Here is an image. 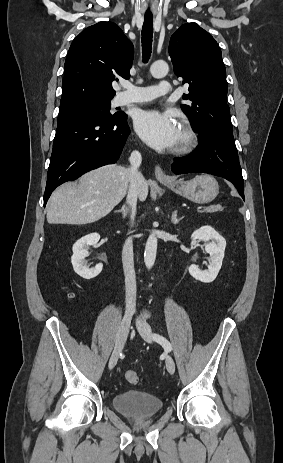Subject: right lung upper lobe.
<instances>
[{
    "label": "right lung upper lobe",
    "mask_w": 283,
    "mask_h": 463,
    "mask_svg": "<svg viewBox=\"0 0 283 463\" xmlns=\"http://www.w3.org/2000/svg\"><path fill=\"white\" fill-rule=\"evenodd\" d=\"M132 42L112 22L83 30L72 42L64 66L60 109L91 99H112L117 75L128 79Z\"/></svg>",
    "instance_id": "1"
}]
</instances>
